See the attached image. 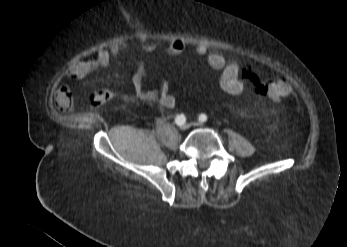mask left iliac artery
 I'll return each instance as SVG.
<instances>
[{
  "label": "left iliac artery",
  "mask_w": 347,
  "mask_h": 247,
  "mask_svg": "<svg viewBox=\"0 0 347 247\" xmlns=\"http://www.w3.org/2000/svg\"><path fill=\"white\" fill-rule=\"evenodd\" d=\"M199 121L206 122L207 121V115L206 114H200L199 115Z\"/></svg>",
  "instance_id": "left-iliac-artery-1"
}]
</instances>
